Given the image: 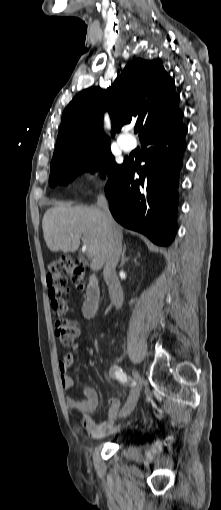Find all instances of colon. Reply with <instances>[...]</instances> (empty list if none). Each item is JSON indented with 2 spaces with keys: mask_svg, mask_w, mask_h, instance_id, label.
<instances>
[{
  "mask_svg": "<svg viewBox=\"0 0 221 510\" xmlns=\"http://www.w3.org/2000/svg\"><path fill=\"white\" fill-rule=\"evenodd\" d=\"M68 279L82 288L84 285V269L82 264L70 257L63 256L48 264L47 287L52 309L57 319L54 324L55 334L65 347H71L80 333L77 321L67 316L70 302L67 298Z\"/></svg>",
  "mask_w": 221,
  "mask_h": 510,
  "instance_id": "obj_1",
  "label": "colon"
}]
</instances>
